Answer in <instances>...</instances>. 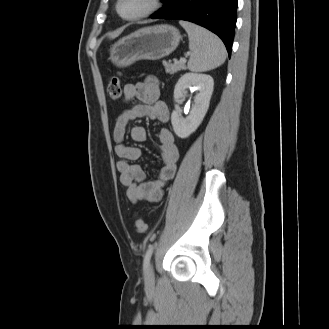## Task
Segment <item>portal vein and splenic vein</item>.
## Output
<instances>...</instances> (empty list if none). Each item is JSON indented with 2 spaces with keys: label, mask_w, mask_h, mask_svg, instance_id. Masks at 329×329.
Here are the masks:
<instances>
[{
  "label": "portal vein and splenic vein",
  "mask_w": 329,
  "mask_h": 329,
  "mask_svg": "<svg viewBox=\"0 0 329 329\" xmlns=\"http://www.w3.org/2000/svg\"><path fill=\"white\" fill-rule=\"evenodd\" d=\"M180 62L185 63L186 62V59L184 57H181L180 58Z\"/></svg>",
  "instance_id": "1"
}]
</instances>
